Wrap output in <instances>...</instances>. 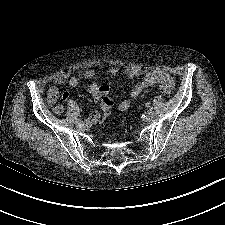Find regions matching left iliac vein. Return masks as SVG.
Instances as JSON below:
<instances>
[{"label": "left iliac vein", "mask_w": 225, "mask_h": 225, "mask_svg": "<svg viewBox=\"0 0 225 225\" xmlns=\"http://www.w3.org/2000/svg\"><path fill=\"white\" fill-rule=\"evenodd\" d=\"M154 116H155L154 111H153V110H149V111L147 112V114H146V119H147V120H152V119L154 118Z\"/></svg>", "instance_id": "obj_1"}]
</instances>
